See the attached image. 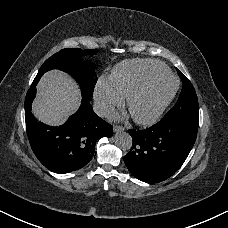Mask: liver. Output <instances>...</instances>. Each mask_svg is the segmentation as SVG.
<instances>
[{
    "mask_svg": "<svg viewBox=\"0 0 228 228\" xmlns=\"http://www.w3.org/2000/svg\"><path fill=\"white\" fill-rule=\"evenodd\" d=\"M80 104L81 92L77 83L65 72L55 69L41 77L32 113L47 125L59 126L78 110Z\"/></svg>",
    "mask_w": 228,
    "mask_h": 228,
    "instance_id": "6515ba94",
    "label": "liver"
}]
</instances>
